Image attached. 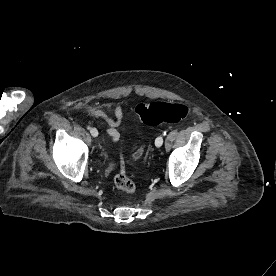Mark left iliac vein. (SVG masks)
<instances>
[{
  "label": "left iliac vein",
  "instance_id": "obj_1",
  "mask_svg": "<svg viewBox=\"0 0 276 276\" xmlns=\"http://www.w3.org/2000/svg\"><path fill=\"white\" fill-rule=\"evenodd\" d=\"M163 137L162 136H158L157 138H156V140H155V145L157 146V147H161L162 146V144H163Z\"/></svg>",
  "mask_w": 276,
  "mask_h": 276
}]
</instances>
